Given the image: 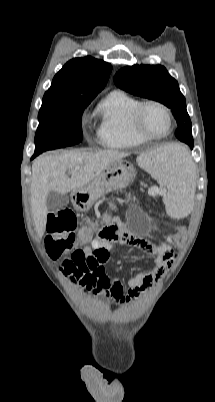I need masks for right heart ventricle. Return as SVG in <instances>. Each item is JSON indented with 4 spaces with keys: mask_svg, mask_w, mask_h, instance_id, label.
I'll use <instances>...</instances> for the list:
<instances>
[{
    "mask_svg": "<svg viewBox=\"0 0 215 402\" xmlns=\"http://www.w3.org/2000/svg\"><path fill=\"white\" fill-rule=\"evenodd\" d=\"M139 100L123 91H112L98 105L96 115L98 143L111 149H131L148 140L139 136L132 125L134 109Z\"/></svg>",
    "mask_w": 215,
    "mask_h": 402,
    "instance_id": "e07e8e85",
    "label": "right heart ventricle"
}]
</instances>
